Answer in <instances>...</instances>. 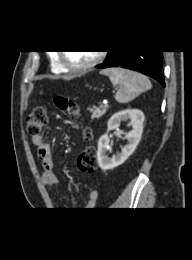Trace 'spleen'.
Returning a JSON list of instances; mask_svg holds the SVG:
<instances>
[{
    "instance_id": "obj_1",
    "label": "spleen",
    "mask_w": 192,
    "mask_h": 260,
    "mask_svg": "<svg viewBox=\"0 0 192 260\" xmlns=\"http://www.w3.org/2000/svg\"><path fill=\"white\" fill-rule=\"evenodd\" d=\"M101 74L109 77L113 85H119L115 99L119 103H128L141 93L152 88L150 80L140 73L123 69L107 68Z\"/></svg>"
}]
</instances>
